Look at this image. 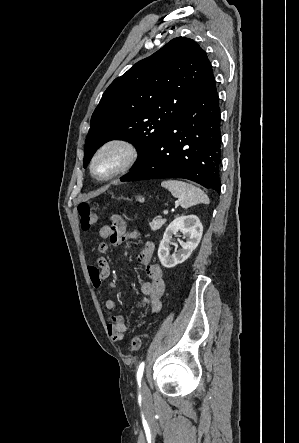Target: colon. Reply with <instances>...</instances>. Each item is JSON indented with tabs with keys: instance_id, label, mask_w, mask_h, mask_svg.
<instances>
[{
	"instance_id": "1",
	"label": "colon",
	"mask_w": 299,
	"mask_h": 443,
	"mask_svg": "<svg viewBox=\"0 0 299 443\" xmlns=\"http://www.w3.org/2000/svg\"><path fill=\"white\" fill-rule=\"evenodd\" d=\"M78 214L80 216L81 226L83 229H90L97 224L98 216L96 207L93 204L86 202L80 203L78 205ZM146 336V334H143L133 337L130 341V351H138L141 348L143 339Z\"/></svg>"
}]
</instances>
